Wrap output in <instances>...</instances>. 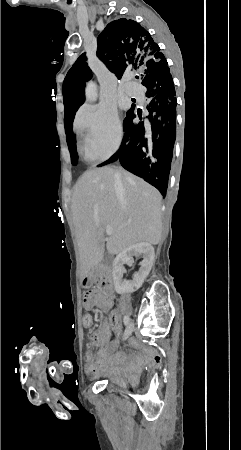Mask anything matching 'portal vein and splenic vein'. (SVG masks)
Here are the masks:
<instances>
[{"label": "portal vein and splenic vein", "mask_w": 241, "mask_h": 450, "mask_svg": "<svg viewBox=\"0 0 241 450\" xmlns=\"http://www.w3.org/2000/svg\"><path fill=\"white\" fill-rule=\"evenodd\" d=\"M106 234H107V236H112V228H110V226H108V228H106Z\"/></svg>", "instance_id": "18ae733b"}]
</instances>
